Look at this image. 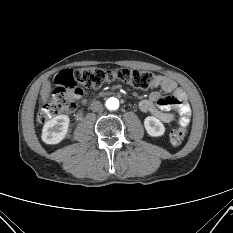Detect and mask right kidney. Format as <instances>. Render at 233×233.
I'll return each mask as SVG.
<instances>
[{
  "mask_svg": "<svg viewBox=\"0 0 233 233\" xmlns=\"http://www.w3.org/2000/svg\"><path fill=\"white\" fill-rule=\"evenodd\" d=\"M70 119L67 115H58L47 121L42 129V140L47 144H58L68 132Z\"/></svg>",
  "mask_w": 233,
  "mask_h": 233,
  "instance_id": "right-kidney-1",
  "label": "right kidney"
}]
</instances>
